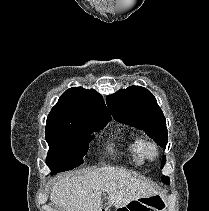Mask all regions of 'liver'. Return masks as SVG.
Wrapping results in <instances>:
<instances>
[{"mask_svg":"<svg viewBox=\"0 0 209 211\" xmlns=\"http://www.w3.org/2000/svg\"><path fill=\"white\" fill-rule=\"evenodd\" d=\"M102 192L116 209L155 195V187L118 167H101L83 174H65L53 185L50 199L62 211H102Z\"/></svg>","mask_w":209,"mask_h":211,"instance_id":"6515ba94","label":"liver"}]
</instances>
